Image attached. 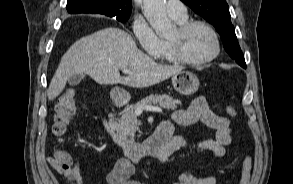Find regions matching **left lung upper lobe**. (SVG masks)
<instances>
[{"instance_id":"left-lung-upper-lobe-1","label":"left lung upper lobe","mask_w":293,"mask_h":184,"mask_svg":"<svg viewBox=\"0 0 293 184\" xmlns=\"http://www.w3.org/2000/svg\"><path fill=\"white\" fill-rule=\"evenodd\" d=\"M195 13L201 15L213 24L221 36L225 50L239 65L245 64V59L231 23V16L226 0H181Z\"/></svg>"}]
</instances>
